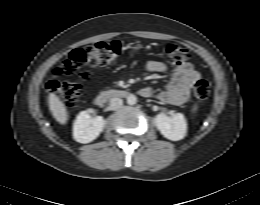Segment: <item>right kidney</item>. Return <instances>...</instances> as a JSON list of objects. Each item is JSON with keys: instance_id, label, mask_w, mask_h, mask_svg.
<instances>
[{"instance_id": "obj_1", "label": "right kidney", "mask_w": 260, "mask_h": 205, "mask_svg": "<svg viewBox=\"0 0 260 205\" xmlns=\"http://www.w3.org/2000/svg\"><path fill=\"white\" fill-rule=\"evenodd\" d=\"M105 124L102 116L92 118L89 111H82L74 122L73 138L79 143H89L99 136Z\"/></svg>"}]
</instances>
